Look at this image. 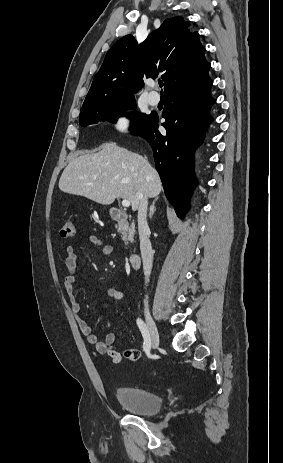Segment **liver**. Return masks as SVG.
<instances>
[{
	"label": "liver",
	"instance_id": "6515ba94",
	"mask_svg": "<svg viewBox=\"0 0 283 463\" xmlns=\"http://www.w3.org/2000/svg\"><path fill=\"white\" fill-rule=\"evenodd\" d=\"M93 154L71 161L60 180L61 191L110 205L116 198L130 201L132 210L139 206L141 194L157 197L162 189L156 169L143 156L105 143Z\"/></svg>",
	"mask_w": 283,
	"mask_h": 463
}]
</instances>
